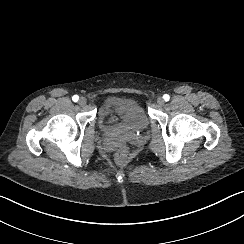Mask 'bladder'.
Wrapping results in <instances>:
<instances>
[{"mask_svg": "<svg viewBox=\"0 0 244 244\" xmlns=\"http://www.w3.org/2000/svg\"><path fill=\"white\" fill-rule=\"evenodd\" d=\"M113 106L118 109V120L112 127L114 130L140 133L149 127L150 121L143 108L133 100L120 98L107 99L102 103L99 115L101 121L106 119Z\"/></svg>", "mask_w": 244, "mask_h": 244, "instance_id": "31cf9c89", "label": "bladder"}]
</instances>
